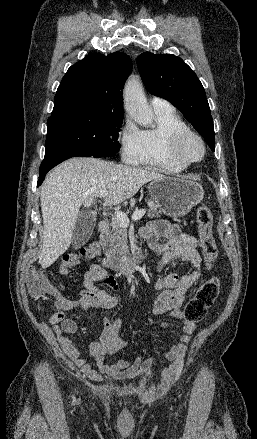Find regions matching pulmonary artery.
<instances>
[{
    "instance_id": "1",
    "label": "pulmonary artery",
    "mask_w": 257,
    "mask_h": 439,
    "mask_svg": "<svg viewBox=\"0 0 257 439\" xmlns=\"http://www.w3.org/2000/svg\"><path fill=\"white\" fill-rule=\"evenodd\" d=\"M152 107L155 111H163V110H169L172 109L171 104L159 97H154L152 98L151 101Z\"/></svg>"
}]
</instances>
